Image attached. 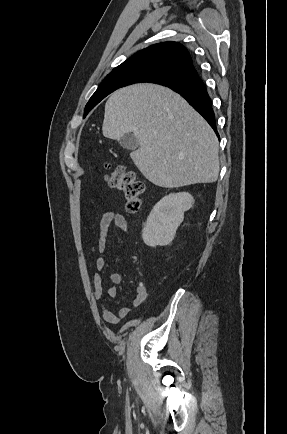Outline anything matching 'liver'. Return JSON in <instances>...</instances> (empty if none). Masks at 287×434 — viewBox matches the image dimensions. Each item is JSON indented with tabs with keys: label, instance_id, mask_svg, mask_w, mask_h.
I'll return each instance as SVG.
<instances>
[{
	"label": "liver",
	"instance_id": "liver-1",
	"mask_svg": "<svg viewBox=\"0 0 287 434\" xmlns=\"http://www.w3.org/2000/svg\"><path fill=\"white\" fill-rule=\"evenodd\" d=\"M103 135L120 140L134 133L140 147L131 158L156 186L215 182L218 139L203 117L179 94L154 84H137L112 93L105 105Z\"/></svg>",
	"mask_w": 287,
	"mask_h": 434
}]
</instances>
